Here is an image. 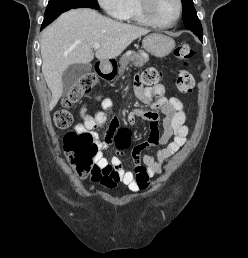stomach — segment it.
Returning <instances> with one entry per match:
<instances>
[{"mask_svg": "<svg viewBox=\"0 0 248 258\" xmlns=\"http://www.w3.org/2000/svg\"><path fill=\"white\" fill-rule=\"evenodd\" d=\"M175 47V41L166 35L153 33L143 40V48L155 57H165L172 52ZM101 72L108 74L112 71V64L105 61L101 65Z\"/></svg>", "mask_w": 248, "mask_h": 258, "instance_id": "obj_1", "label": "stomach"}]
</instances>
